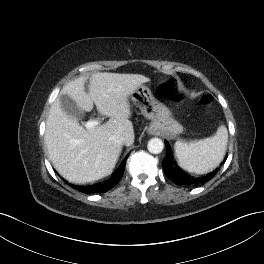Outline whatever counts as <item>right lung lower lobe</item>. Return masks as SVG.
Segmentation results:
<instances>
[{"label": "right lung lower lobe", "instance_id": "1", "mask_svg": "<svg viewBox=\"0 0 264 264\" xmlns=\"http://www.w3.org/2000/svg\"><path fill=\"white\" fill-rule=\"evenodd\" d=\"M125 163H123L122 167L120 170L111 178H109L107 181H104V183H98L94 184L92 186H83V187H76L74 186L75 189H77L80 192L83 193H99V192H107L111 188H113L122 178L123 173H124V168H125Z\"/></svg>", "mask_w": 264, "mask_h": 264}]
</instances>
